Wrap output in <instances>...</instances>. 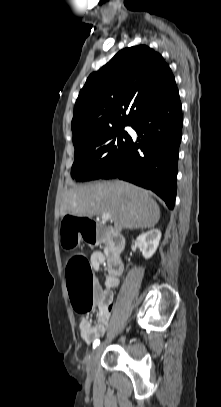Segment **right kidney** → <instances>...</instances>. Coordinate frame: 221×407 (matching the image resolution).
Returning <instances> with one entry per match:
<instances>
[{
    "instance_id": "obj_1",
    "label": "right kidney",
    "mask_w": 221,
    "mask_h": 407,
    "mask_svg": "<svg viewBox=\"0 0 221 407\" xmlns=\"http://www.w3.org/2000/svg\"><path fill=\"white\" fill-rule=\"evenodd\" d=\"M160 239L161 231L159 229L149 230L137 237V242L145 259H149L153 256L157 250Z\"/></svg>"
}]
</instances>
